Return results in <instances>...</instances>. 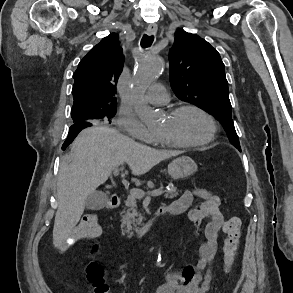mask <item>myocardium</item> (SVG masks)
<instances>
[{
  "label": "myocardium",
  "mask_w": 293,
  "mask_h": 293,
  "mask_svg": "<svg viewBox=\"0 0 293 293\" xmlns=\"http://www.w3.org/2000/svg\"><path fill=\"white\" fill-rule=\"evenodd\" d=\"M185 111H195L201 114L207 120V122L209 123V133L206 138L198 142H184L165 134H158V137L170 146L179 148H199L211 143L216 138L218 132V126L214 117L210 113L205 111L203 108L193 104H184L175 107L169 111L168 116L176 117Z\"/></svg>",
  "instance_id": "1"
}]
</instances>
